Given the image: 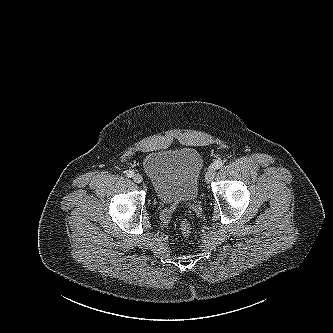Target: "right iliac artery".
Listing matches in <instances>:
<instances>
[{
  "label": "right iliac artery",
  "mask_w": 333,
  "mask_h": 333,
  "mask_svg": "<svg viewBox=\"0 0 333 333\" xmlns=\"http://www.w3.org/2000/svg\"><path fill=\"white\" fill-rule=\"evenodd\" d=\"M127 176L130 177V178L133 177L134 172L132 170L127 171Z\"/></svg>",
  "instance_id": "right-iliac-artery-1"
}]
</instances>
